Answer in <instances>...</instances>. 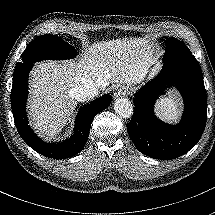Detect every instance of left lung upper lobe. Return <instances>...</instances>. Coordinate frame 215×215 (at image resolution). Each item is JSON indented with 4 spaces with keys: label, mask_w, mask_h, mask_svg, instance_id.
<instances>
[{
    "label": "left lung upper lobe",
    "mask_w": 215,
    "mask_h": 215,
    "mask_svg": "<svg viewBox=\"0 0 215 215\" xmlns=\"http://www.w3.org/2000/svg\"><path fill=\"white\" fill-rule=\"evenodd\" d=\"M165 45L166 51L163 60L167 58H177L191 54L188 47L183 42L175 38H167Z\"/></svg>",
    "instance_id": "obj_1"
}]
</instances>
